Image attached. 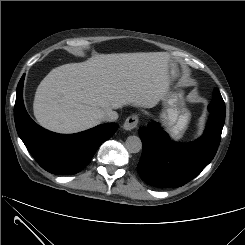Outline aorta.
<instances>
[{
  "mask_svg": "<svg viewBox=\"0 0 245 245\" xmlns=\"http://www.w3.org/2000/svg\"><path fill=\"white\" fill-rule=\"evenodd\" d=\"M126 149L130 153H138L142 150V142L138 136H129L125 142Z\"/></svg>",
  "mask_w": 245,
  "mask_h": 245,
  "instance_id": "obj_1",
  "label": "aorta"
}]
</instances>
